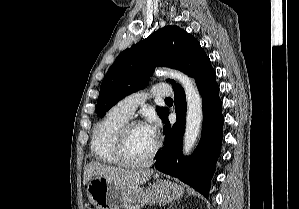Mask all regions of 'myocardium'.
Returning <instances> with one entry per match:
<instances>
[{"label": "myocardium", "mask_w": 299, "mask_h": 209, "mask_svg": "<svg viewBox=\"0 0 299 209\" xmlns=\"http://www.w3.org/2000/svg\"><path fill=\"white\" fill-rule=\"evenodd\" d=\"M136 126H143L141 122L135 120H128L122 127L119 129L116 136V144H115V154L118 159L119 164L129 167V168H144L149 166L154 158L156 157L160 144L156 141L154 148L151 153L148 155L146 159L139 162L131 161L126 154V146L128 140V134L130 130Z\"/></svg>", "instance_id": "obj_1"}]
</instances>
